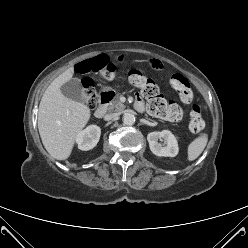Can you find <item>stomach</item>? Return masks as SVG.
<instances>
[{
	"label": "stomach",
	"instance_id": "stomach-1",
	"mask_svg": "<svg viewBox=\"0 0 248 248\" xmlns=\"http://www.w3.org/2000/svg\"><path fill=\"white\" fill-rule=\"evenodd\" d=\"M108 90V88H104V91H107Z\"/></svg>",
	"mask_w": 248,
	"mask_h": 248
}]
</instances>
